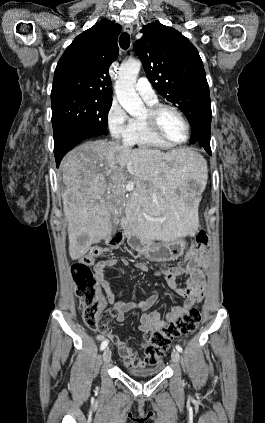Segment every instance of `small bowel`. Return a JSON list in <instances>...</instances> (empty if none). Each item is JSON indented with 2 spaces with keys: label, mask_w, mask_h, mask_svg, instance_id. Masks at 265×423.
<instances>
[{
  "label": "small bowel",
  "mask_w": 265,
  "mask_h": 423,
  "mask_svg": "<svg viewBox=\"0 0 265 423\" xmlns=\"http://www.w3.org/2000/svg\"><path fill=\"white\" fill-rule=\"evenodd\" d=\"M117 259L112 257L104 261L98 262L95 267V274L99 280L102 288L105 291L106 297L111 304L110 310L116 322L123 323L126 319V314L133 310L142 312L140 318L139 330L144 334L145 341L143 348L148 345L149 337L156 331L160 330L167 323L175 321L181 315L187 313L194 305L201 301L206 291V276L210 267L209 255L204 249L201 253L196 255L193 259L186 260V266H173L167 269H162L156 272V275H164L167 285L170 289L176 292L184 299L182 305L173 307L164 317L158 312H147L156 300L160 297V293L156 290L152 291L150 296L139 303H127L116 299L111 291L110 283L106 277V270L113 267L117 263ZM122 265L128 267L129 261L126 258H121ZM148 267L144 263H135L132 270L146 271ZM185 276L186 281L184 286H179L177 279ZM107 336L116 345L120 356L123 358L125 365L135 367L137 363L143 360L135 351L126 343L124 339L115 334L98 335V339L102 340Z\"/></svg>",
  "instance_id": "c3829d8e"
}]
</instances>
